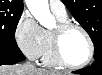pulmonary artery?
<instances>
[{
    "label": "pulmonary artery",
    "instance_id": "1",
    "mask_svg": "<svg viewBox=\"0 0 102 75\" xmlns=\"http://www.w3.org/2000/svg\"><path fill=\"white\" fill-rule=\"evenodd\" d=\"M49 7L51 11L60 16H66V7L62 1L49 0Z\"/></svg>",
    "mask_w": 102,
    "mask_h": 75
}]
</instances>
